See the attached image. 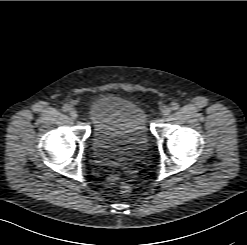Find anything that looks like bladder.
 I'll list each match as a JSON object with an SVG mask.
<instances>
[{"instance_id":"1","label":"bladder","mask_w":247,"mask_h":245,"mask_svg":"<svg viewBox=\"0 0 247 245\" xmlns=\"http://www.w3.org/2000/svg\"><path fill=\"white\" fill-rule=\"evenodd\" d=\"M92 154L97 164L111 166L142 154L149 144L147 117L136 102L104 95L88 108Z\"/></svg>"}]
</instances>
